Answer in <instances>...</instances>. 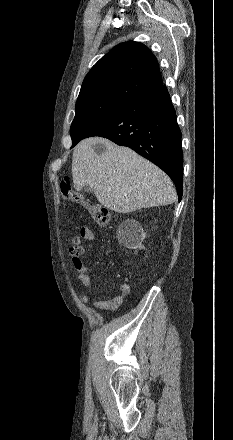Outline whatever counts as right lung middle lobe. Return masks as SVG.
Instances as JSON below:
<instances>
[{"instance_id": "dd1d6c3e", "label": "right lung middle lobe", "mask_w": 233, "mask_h": 440, "mask_svg": "<svg viewBox=\"0 0 233 440\" xmlns=\"http://www.w3.org/2000/svg\"><path fill=\"white\" fill-rule=\"evenodd\" d=\"M126 103L113 99H91L76 102V114L70 129L72 147L105 124Z\"/></svg>"}]
</instances>
